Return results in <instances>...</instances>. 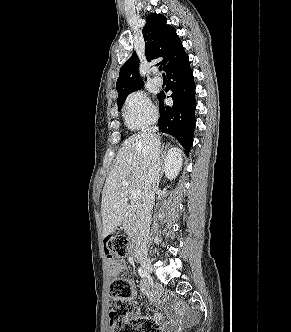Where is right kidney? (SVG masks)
Returning a JSON list of instances; mask_svg holds the SVG:
<instances>
[{
	"instance_id": "obj_1",
	"label": "right kidney",
	"mask_w": 291,
	"mask_h": 332,
	"mask_svg": "<svg viewBox=\"0 0 291 332\" xmlns=\"http://www.w3.org/2000/svg\"><path fill=\"white\" fill-rule=\"evenodd\" d=\"M180 156L181 155L177 152L176 148L170 149L167 153L165 173L169 179L175 178V176L178 174V171L180 170L182 164Z\"/></svg>"
}]
</instances>
